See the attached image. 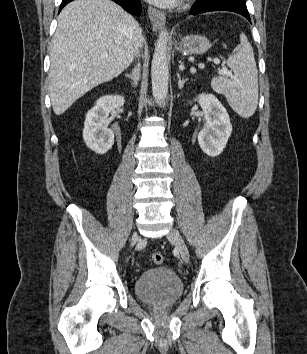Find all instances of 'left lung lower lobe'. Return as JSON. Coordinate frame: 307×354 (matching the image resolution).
Segmentation results:
<instances>
[{
	"label": "left lung lower lobe",
	"instance_id": "1",
	"mask_svg": "<svg viewBox=\"0 0 307 354\" xmlns=\"http://www.w3.org/2000/svg\"><path fill=\"white\" fill-rule=\"evenodd\" d=\"M209 11L236 12L251 22L245 0H196L190 13L197 15Z\"/></svg>",
	"mask_w": 307,
	"mask_h": 354
}]
</instances>
